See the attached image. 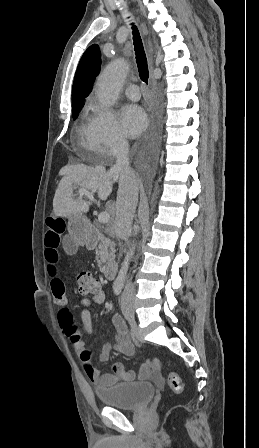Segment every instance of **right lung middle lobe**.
Returning a JSON list of instances; mask_svg holds the SVG:
<instances>
[{
	"label": "right lung middle lobe",
	"instance_id": "obj_1",
	"mask_svg": "<svg viewBox=\"0 0 259 448\" xmlns=\"http://www.w3.org/2000/svg\"><path fill=\"white\" fill-rule=\"evenodd\" d=\"M80 110H81V109H74V110H72L73 119H76V118H77L78 113H79Z\"/></svg>",
	"mask_w": 259,
	"mask_h": 448
}]
</instances>
